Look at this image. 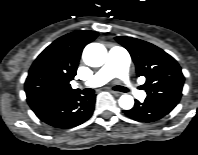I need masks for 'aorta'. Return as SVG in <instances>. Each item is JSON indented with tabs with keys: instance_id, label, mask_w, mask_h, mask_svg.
<instances>
[{
	"instance_id": "1",
	"label": "aorta",
	"mask_w": 198,
	"mask_h": 155,
	"mask_svg": "<svg viewBox=\"0 0 198 155\" xmlns=\"http://www.w3.org/2000/svg\"><path fill=\"white\" fill-rule=\"evenodd\" d=\"M84 62L91 67L102 66L107 59V50L100 43L88 44L82 54ZM119 106L124 110H130L134 106V99L131 95L124 94L118 100Z\"/></svg>"
}]
</instances>
